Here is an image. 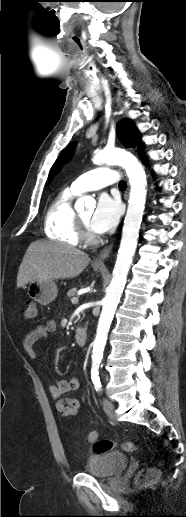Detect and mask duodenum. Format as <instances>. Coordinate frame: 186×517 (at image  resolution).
<instances>
[{
    "instance_id": "obj_1",
    "label": "duodenum",
    "mask_w": 186,
    "mask_h": 517,
    "mask_svg": "<svg viewBox=\"0 0 186 517\" xmlns=\"http://www.w3.org/2000/svg\"><path fill=\"white\" fill-rule=\"evenodd\" d=\"M75 340L77 344L81 347H84L87 344L88 334L87 329L85 327H79L76 329Z\"/></svg>"
}]
</instances>
